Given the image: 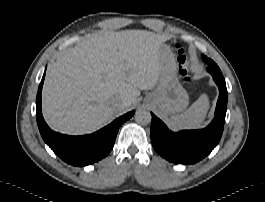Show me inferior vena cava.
I'll list each match as a JSON object with an SVG mask.
<instances>
[{
  "label": "inferior vena cava",
  "instance_id": "inferior-vena-cava-1",
  "mask_svg": "<svg viewBox=\"0 0 265 202\" xmlns=\"http://www.w3.org/2000/svg\"><path fill=\"white\" fill-rule=\"evenodd\" d=\"M121 99L120 98H115L114 99V104L118 105L120 103Z\"/></svg>",
  "mask_w": 265,
  "mask_h": 202
}]
</instances>
